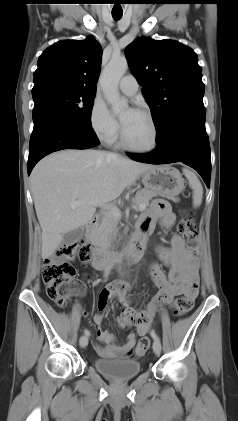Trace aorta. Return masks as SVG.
Masks as SVG:
<instances>
[{
	"label": "aorta",
	"instance_id": "aorta-1",
	"mask_svg": "<svg viewBox=\"0 0 238 421\" xmlns=\"http://www.w3.org/2000/svg\"><path fill=\"white\" fill-rule=\"evenodd\" d=\"M128 69L125 58H112L104 69L101 86L106 100L111 104L115 112L127 108V102L122 100L119 94V82Z\"/></svg>",
	"mask_w": 238,
	"mask_h": 421
}]
</instances>
